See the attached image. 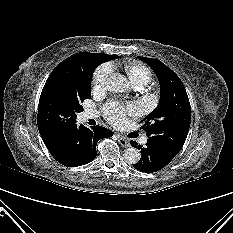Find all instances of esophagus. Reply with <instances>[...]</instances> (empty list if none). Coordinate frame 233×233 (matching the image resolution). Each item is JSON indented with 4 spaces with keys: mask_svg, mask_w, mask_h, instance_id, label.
I'll use <instances>...</instances> for the list:
<instances>
[{
    "mask_svg": "<svg viewBox=\"0 0 233 233\" xmlns=\"http://www.w3.org/2000/svg\"><path fill=\"white\" fill-rule=\"evenodd\" d=\"M118 141L123 147H130V142L127 138L118 135Z\"/></svg>",
    "mask_w": 233,
    "mask_h": 233,
    "instance_id": "esophagus-1",
    "label": "esophagus"
}]
</instances>
